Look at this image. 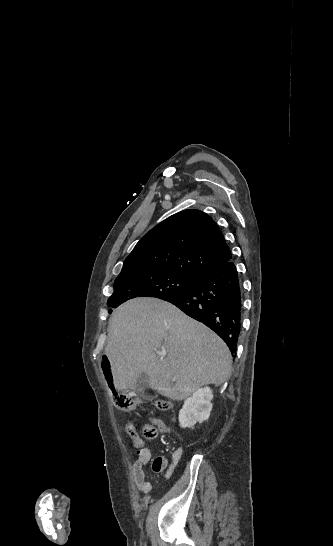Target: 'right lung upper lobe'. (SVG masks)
I'll return each mask as SVG.
<instances>
[{
    "instance_id": "1",
    "label": "right lung upper lobe",
    "mask_w": 333,
    "mask_h": 546,
    "mask_svg": "<svg viewBox=\"0 0 333 546\" xmlns=\"http://www.w3.org/2000/svg\"><path fill=\"white\" fill-rule=\"evenodd\" d=\"M231 258L213 219L200 210L189 209L150 230L126 258L121 272H173L201 278Z\"/></svg>"
}]
</instances>
